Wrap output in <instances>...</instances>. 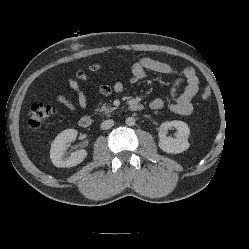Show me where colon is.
Wrapping results in <instances>:
<instances>
[{
	"label": "colon",
	"instance_id": "colon-1",
	"mask_svg": "<svg viewBox=\"0 0 249 249\" xmlns=\"http://www.w3.org/2000/svg\"><path fill=\"white\" fill-rule=\"evenodd\" d=\"M211 97L209 87H204L201 90V98L208 100ZM55 114V108L51 105L36 103L31 106L28 111L27 126L30 131L37 130L45 121L50 119Z\"/></svg>",
	"mask_w": 249,
	"mask_h": 249
}]
</instances>
